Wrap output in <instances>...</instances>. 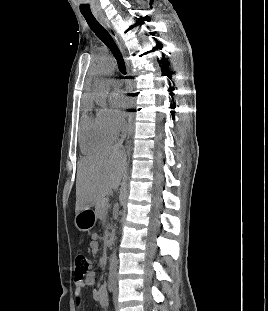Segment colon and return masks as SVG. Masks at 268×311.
Returning <instances> with one entry per match:
<instances>
[{
  "mask_svg": "<svg viewBox=\"0 0 268 311\" xmlns=\"http://www.w3.org/2000/svg\"><path fill=\"white\" fill-rule=\"evenodd\" d=\"M90 271V261L85 254L79 253L75 258V280H82Z\"/></svg>",
  "mask_w": 268,
  "mask_h": 311,
  "instance_id": "5ec220e1",
  "label": "colon"
}]
</instances>
